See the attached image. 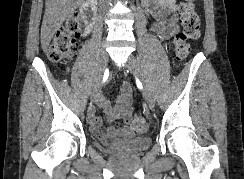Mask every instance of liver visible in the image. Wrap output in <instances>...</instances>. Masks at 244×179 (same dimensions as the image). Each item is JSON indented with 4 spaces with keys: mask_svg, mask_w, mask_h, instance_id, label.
<instances>
[{
    "mask_svg": "<svg viewBox=\"0 0 244 179\" xmlns=\"http://www.w3.org/2000/svg\"><path fill=\"white\" fill-rule=\"evenodd\" d=\"M84 0H45V14L41 26V46L47 52L57 30Z\"/></svg>",
    "mask_w": 244,
    "mask_h": 179,
    "instance_id": "1",
    "label": "liver"
}]
</instances>
